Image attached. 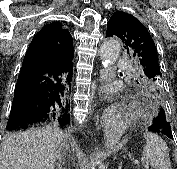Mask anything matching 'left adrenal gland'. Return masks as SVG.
<instances>
[{"label": "left adrenal gland", "instance_id": "obj_1", "mask_svg": "<svg viewBox=\"0 0 177 169\" xmlns=\"http://www.w3.org/2000/svg\"><path fill=\"white\" fill-rule=\"evenodd\" d=\"M121 167H122V162L119 163L118 169H121Z\"/></svg>", "mask_w": 177, "mask_h": 169}]
</instances>
